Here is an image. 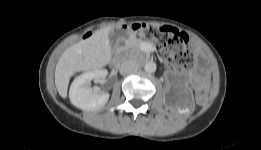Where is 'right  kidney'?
<instances>
[{"instance_id": "right-kidney-1", "label": "right kidney", "mask_w": 261, "mask_h": 150, "mask_svg": "<svg viewBox=\"0 0 261 150\" xmlns=\"http://www.w3.org/2000/svg\"><path fill=\"white\" fill-rule=\"evenodd\" d=\"M107 70L97 69L88 71L76 77L71 84L69 97L71 103L82 110H98L102 108L110 97L107 92H100L99 88L90 87L92 80L107 76Z\"/></svg>"}]
</instances>
